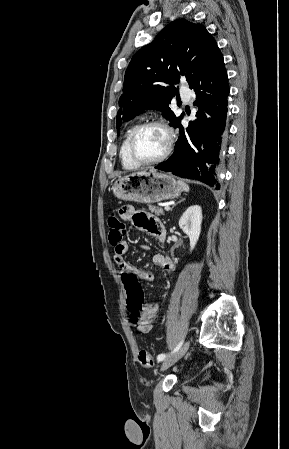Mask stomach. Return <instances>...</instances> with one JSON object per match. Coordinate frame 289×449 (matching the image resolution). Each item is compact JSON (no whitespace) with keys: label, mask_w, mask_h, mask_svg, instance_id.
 <instances>
[{"label":"stomach","mask_w":289,"mask_h":449,"mask_svg":"<svg viewBox=\"0 0 289 449\" xmlns=\"http://www.w3.org/2000/svg\"><path fill=\"white\" fill-rule=\"evenodd\" d=\"M112 191L121 200L153 203L174 199L180 196L183 188L169 174L143 171L119 177L115 180Z\"/></svg>","instance_id":"0dacf381"}]
</instances>
